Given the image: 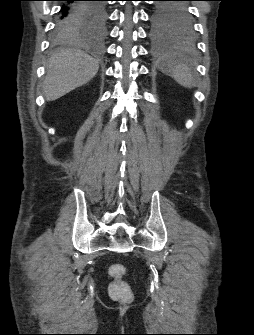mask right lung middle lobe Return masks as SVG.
I'll list each match as a JSON object with an SVG mask.
<instances>
[{
    "label": "right lung middle lobe",
    "instance_id": "obj_1",
    "mask_svg": "<svg viewBox=\"0 0 254 335\" xmlns=\"http://www.w3.org/2000/svg\"><path fill=\"white\" fill-rule=\"evenodd\" d=\"M94 6L99 11V21L93 26L92 30L89 32H84L79 29L78 22L76 21L74 25H72L71 29L68 31H63L60 33H54L53 39L54 40H66L72 38L74 36L79 35H91V34H101L104 32L105 21H106V10L105 4L103 2H96Z\"/></svg>",
    "mask_w": 254,
    "mask_h": 335
}]
</instances>
